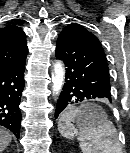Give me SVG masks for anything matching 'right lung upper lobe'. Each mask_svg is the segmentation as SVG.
Returning a JSON list of instances; mask_svg holds the SVG:
<instances>
[{
	"instance_id": "1",
	"label": "right lung upper lobe",
	"mask_w": 130,
	"mask_h": 153,
	"mask_svg": "<svg viewBox=\"0 0 130 153\" xmlns=\"http://www.w3.org/2000/svg\"><path fill=\"white\" fill-rule=\"evenodd\" d=\"M27 51L25 33L21 28L8 25L0 30V67L24 61Z\"/></svg>"
}]
</instances>
